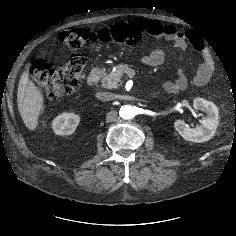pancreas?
<instances>
[{"instance_id": "obj_1", "label": "pancreas", "mask_w": 236, "mask_h": 236, "mask_svg": "<svg viewBox=\"0 0 236 236\" xmlns=\"http://www.w3.org/2000/svg\"><path fill=\"white\" fill-rule=\"evenodd\" d=\"M124 73L128 77H132L135 74L131 66L127 64H119L115 71H111L109 74H104L102 77V86L107 89L118 88L120 79Z\"/></svg>"}]
</instances>
